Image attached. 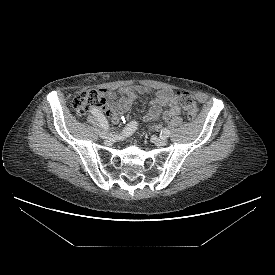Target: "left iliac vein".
I'll return each instance as SVG.
<instances>
[{
	"label": "left iliac vein",
	"instance_id": "left-iliac-vein-1",
	"mask_svg": "<svg viewBox=\"0 0 275 275\" xmlns=\"http://www.w3.org/2000/svg\"><path fill=\"white\" fill-rule=\"evenodd\" d=\"M153 142L157 145V146H165L167 144V140L164 137H157V136H153Z\"/></svg>",
	"mask_w": 275,
	"mask_h": 275
}]
</instances>
